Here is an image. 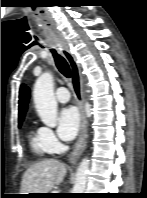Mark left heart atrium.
I'll list each match as a JSON object with an SVG mask.
<instances>
[{
	"label": "left heart atrium",
	"instance_id": "39dd6f15",
	"mask_svg": "<svg viewBox=\"0 0 147 198\" xmlns=\"http://www.w3.org/2000/svg\"><path fill=\"white\" fill-rule=\"evenodd\" d=\"M80 126V116L75 107L69 106L61 109L58 116V134L64 140L75 137Z\"/></svg>",
	"mask_w": 147,
	"mask_h": 198
}]
</instances>
